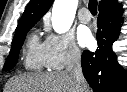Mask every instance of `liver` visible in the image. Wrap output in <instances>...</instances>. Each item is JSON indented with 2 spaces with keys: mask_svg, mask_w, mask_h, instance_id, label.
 Returning <instances> with one entry per match:
<instances>
[{
  "mask_svg": "<svg viewBox=\"0 0 127 92\" xmlns=\"http://www.w3.org/2000/svg\"><path fill=\"white\" fill-rule=\"evenodd\" d=\"M83 92H90L87 84ZM4 92H77L74 80L65 71L20 75L10 79Z\"/></svg>",
  "mask_w": 127,
  "mask_h": 92,
  "instance_id": "liver-1",
  "label": "liver"
}]
</instances>
